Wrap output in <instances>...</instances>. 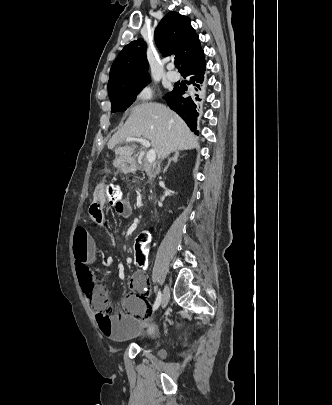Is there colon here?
Segmentation results:
<instances>
[{
  "label": "colon",
  "mask_w": 332,
  "mask_h": 405,
  "mask_svg": "<svg viewBox=\"0 0 332 405\" xmlns=\"http://www.w3.org/2000/svg\"><path fill=\"white\" fill-rule=\"evenodd\" d=\"M108 197L105 199L107 208H114V204L119 202L123 194V186L121 184H107ZM151 243V238L145 233H141L137 238L135 249L137 250V258L134 260V270L145 271L146 262L148 259V245ZM88 296H92L91 302L95 311H109L110 298L108 292L104 288H98L97 292H86ZM93 320L94 315H93Z\"/></svg>",
  "instance_id": "1"
}]
</instances>
